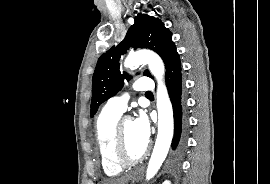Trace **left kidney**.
I'll list each match as a JSON object with an SVG mask.
<instances>
[{
	"label": "left kidney",
	"instance_id": "5707ae66",
	"mask_svg": "<svg viewBox=\"0 0 270 184\" xmlns=\"http://www.w3.org/2000/svg\"><path fill=\"white\" fill-rule=\"evenodd\" d=\"M162 184H171L169 180L164 181Z\"/></svg>",
	"mask_w": 270,
	"mask_h": 184
}]
</instances>
